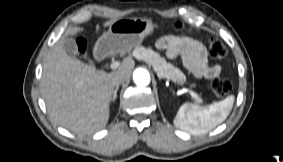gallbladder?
Returning <instances> with one entry per match:
<instances>
[{"label":"gallbladder","mask_w":283,"mask_h":162,"mask_svg":"<svg viewBox=\"0 0 283 162\" xmlns=\"http://www.w3.org/2000/svg\"><path fill=\"white\" fill-rule=\"evenodd\" d=\"M64 48L68 53H70L72 55L76 56L78 54L76 41L72 38H67L64 41Z\"/></svg>","instance_id":"bac80fb5"}]
</instances>
